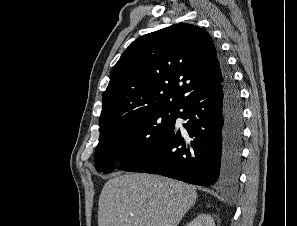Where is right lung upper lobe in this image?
<instances>
[{"label": "right lung upper lobe", "mask_w": 297, "mask_h": 226, "mask_svg": "<svg viewBox=\"0 0 297 226\" xmlns=\"http://www.w3.org/2000/svg\"><path fill=\"white\" fill-rule=\"evenodd\" d=\"M212 38L191 24H176L135 40L121 55L103 93L100 126L155 110H179L190 96L222 81Z\"/></svg>", "instance_id": "right-lung-upper-lobe-1"}]
</instances>
